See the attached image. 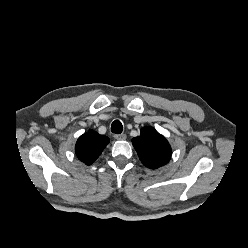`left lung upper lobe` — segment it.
<instances>
[{
    "mask_svg": "<svg viewBox=\"0 0 248 248\" xmlns=\"http://www.w3.org/2000/svg\"><path fill=\"white\" fill-rule=\"evenodd\" d=\"M139 159L148 168L157 169L171 158V147L164 136L153 127H143L140 136L132 139Z\"/></svg>",
    "mask_w": 248,
    "mask_h": 248,
    "instance_id": "left-lung-upper-lobe-1",
    "label": "left lung upper lobe"
}]
</instances>
